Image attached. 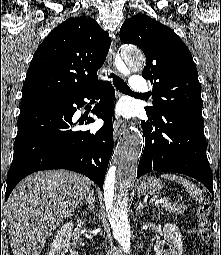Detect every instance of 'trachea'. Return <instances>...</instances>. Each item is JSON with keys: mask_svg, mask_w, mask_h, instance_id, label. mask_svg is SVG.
<instances>
[{"mask_svg": "<svg viewBox=\"0 0 221 255\" xmlns=\"http://www.w3.org/2000/svg\"><path fill=\"white\" fill-rule=\"evenodd\" d=\"M111 77L113 79L114 86L119 91H122V92H125V93H129V94H136V95H138L137 93L132 92L131 89L129 88V86L124 82V80L120 79L117 75H115L114 73H111Z\"/></svg>", "mask_w": 221, "mask_h": 255, "instance_id": "obj_1", "label": "trachea"}]
</instances>
